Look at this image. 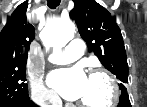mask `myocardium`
<instances>
[{
  "instance_id": "obj_1",
  "label": "myocardium",
  "mask_w": 147,
  "mask_h": 107,
  "mask_svg": "<svg viewBox=\"0 0 147 107\" xmlns=\"http://www.w3.org/2000/svg\"><path fill=\"white\" fill-rule=\"evenodd\" d=\"M89 77H103L109 85L110 98L106 103L100 104V105H91L81 101L78 102V105L80 107H112L114 106L119 99V86L114 76L111 75L109 72L105 71L104 69L96 68L91 70Z\"/></svg>"
}]
</instances>
